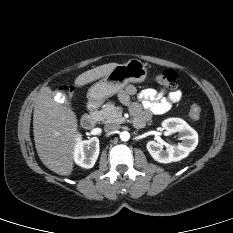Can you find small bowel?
<instances>
[{"instance_id": "obj_1", "label": "small bowel", "mask_w": 233, "mask_h": 233, "mask_svg": "<svg viewBox=\"0 0 233 233\" xmlns=\"http://www.w3.org/2000/svg\"><path fill=\"white\" fill-rule=\"evenodd\" d=\"M132 96H137L139 102H130ZM122 102L129 105L136 125H142L153 114L166 113L174 103L182 98L181 90L167 92L165 89L147 88L140 92L134 85H128L120 94Z\"/></svg>"}]
</instances>
